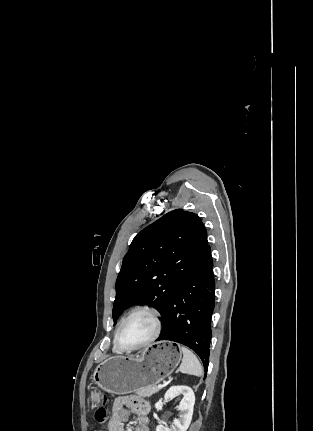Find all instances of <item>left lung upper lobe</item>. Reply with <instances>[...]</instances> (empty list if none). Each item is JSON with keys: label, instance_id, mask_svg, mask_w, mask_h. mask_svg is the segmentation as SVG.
Masks as SVG:
<instances>
[{"label": "left lung upper lobe", "instance_id": "left-lung-upper-lobe-1", "mask_svg": "<svg viewBox=\"0 0 313 431\" xmlns=\"http://www.w3.org/2000/svg\"><path fill=\"white\" fill-rule=\"evenodd\" d=\"M208 246L207 231L192 212L173 210L140 231L125 255L116 280L113 320L135 304L147 303L162 315Z\"/></svg>", "mask_w": 313, "mask_h": 431}]
</instances>
